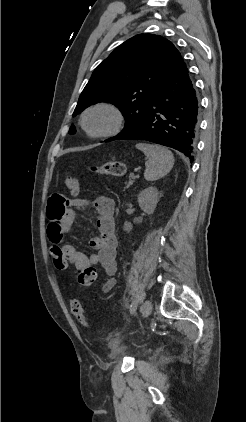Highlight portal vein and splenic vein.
Wrapping results in <instances>:
<instances>
[{
	"instance_id": "obj_1",
	"label": "portal vein and splenic vein",
	"mask_w": 246,
	"mask_h": 422,
	"mask_svg": "<svg viewBox=\"0 0 246 422\" xmlns=\"http://www.w3.org/2000/svg\"><path fill=\"white\" fill-rule=\"evenodd\" d=\"M135 178H136V176L133 175V179H135Z\"/></svg>"
}]
</instances>
